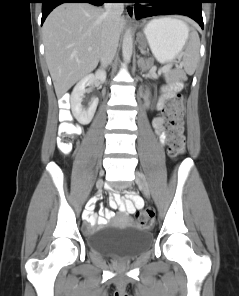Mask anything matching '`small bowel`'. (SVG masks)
<instances>
[{"mask_svg":"<svg viewBox=\"0 0 239 296\" xmlns=\"http://www.w3.org/2000/svg\"><path fill=\"white\" fill-rule=\"evenodd\" d=\"M181 88L180 84L167 85L163 88L162 94L157 103L158 110L162 111L165 107V103L175 96L177 90ZM165 119L162 115L154 118L153 128L160 138L161 143L166 141V133L164 128ZM110 208L118 209L125 216L132 215L136 209L143 207V200L134 193H128L126 198H123L119 193H113L109 200ZM114 216L113 212L108 209H103L98 216L95 213H86L85 217L91 226L104 225ZM93 229L88 228V232L92 233Z\"/></svg>","mask_w":239,"mask_h":296,"instance_id":"1","label":"small bowel"}]
</instances>
